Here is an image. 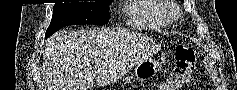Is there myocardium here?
Listing matches in <instances>:
<instances>
[{
    "instance_id": "obj_1",
    "label": "myocardium",
    "mask_w": 237,
    "mask_h": 90,
    "mask_svg": "<svg viewBox=\"0 0 237 90\" xmlns=\"http://www.w3.org/2000/svg\"><path fill=\"white\" fill-rule=\"evenodd\" d=\"M177 20V18L176 17H172V21H168L169 23L170 22H175Z\"/></svg>"
}]
</instances>
